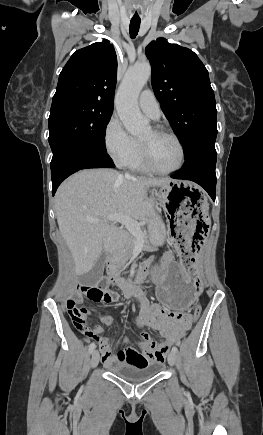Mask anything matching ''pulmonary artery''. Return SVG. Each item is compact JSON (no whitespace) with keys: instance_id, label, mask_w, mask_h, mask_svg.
I'll return each mask as SVG.
<instances>
[{"instance_id":"obj_1","label":"pulmonary artery","mask_w":263,"mask_h":435,"mask_svg":"<svg viewBox=\"0 0 263 435\" xmlns=\"http://www.w3.org/2000/svg\"><path fill=\"white\" fill-rule=\"evenodd\" d=\"M138 103L140 109L151 119L157 120L160 117L159 103L150 89H146L141 93Z\"/></svg>"}]
</instances>
